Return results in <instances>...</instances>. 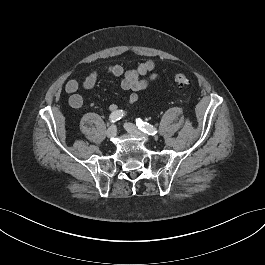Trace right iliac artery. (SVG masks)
I'll list each match as a JSON object with an SVG mask.
<instances>
[{
  "mask_svg": "<svg viewBox=\"0 0 265 265\" xmlns=\"http://www.w3.org/2000/svg\"><path fill=\"white\" fill-rule=\"evenodd\" d=\"M123 116H125V112L123 110H117L111 113L109 121L111 123H115L116 121L120 120Z\"/></svg>",
  "mask_w": 265,
  "mask_h": 265,
  "instance_id": "obj_1",
  "label": "right iliac artery"
}]
</instances>
